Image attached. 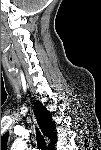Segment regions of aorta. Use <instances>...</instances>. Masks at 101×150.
Listing matches in <instances>:
<instances>
[{
    "label": "aorta",
    "mask_w": 101,
    "mask_h": 150,
    "mask_svg": "<svg viewBox=\"0 0 101 150\" xmlns=\"http://www.w3.org/2000/svg\"><path fill=\"white\" fill-rule=\"evenodd\" d=\"M27 148V143L23 138H17L12 144V150H25Z\"/></svg>",
    "instance_id": "762f6f07"
}]
</instances>
